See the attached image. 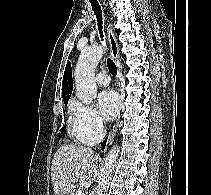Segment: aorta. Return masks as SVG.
<instances>
[{
  "label": "aorta",
  "mask_w": 211,
  "mask_h": 195,
  "mask_svg": "<svg viewBox=\"0 0 211 195\" xmlns=\"http://www.w3.org/2000/svg\"><path fill=\"white\" fill-rule=\"evenodd\" d=\"M104 54L102 46L84 49L78 59L75 69V88L77 98L85 103H91L97 95V85L94 79L95 69ZM119 147L114 145L106 155L101 176L96 189V195H105L114 172Z\"/></svg>",
  "instance_id": "obj_1"
}]
</instances>
